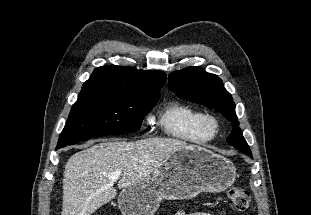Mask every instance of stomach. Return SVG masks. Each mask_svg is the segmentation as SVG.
Returning <instances> with one entry per match:
<instances>
[{
    "label": "stomach",
    "mask_w": 311,
    "mask_h": 215,
    "mask_svg": "<svg viewBox=\"0 0 311 215\" xmlns=\"http://www.w3.org/2000/svg\"><path fill=\"white\" fill-rule=\"evenodd\" d=\"M227 158L190 145L165 160L148 178L123 189L118 197L122 215H154L162 199L183 200L201 192H221L235 180Z\"/></svg>",
    "instance_id": "1"
}]
</instances>
